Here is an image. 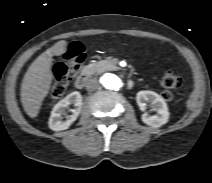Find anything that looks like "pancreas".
Here are the masks:
<instances>
[{"instance_id":"obj_1","label":"pancreas","mask_w":212,"mask_h":183,"mask_svg":"<svg viewBox=\"0 0 212 183\" xmlns=\"http://www.w3.org/2000/svg\"><path fill=\"white\" fill-rule=\"evenodd\" d=\"M118 60L116 58H108L99 62H93L86 67V72L90 75L99 74L105 71L119 70L117 66Z\"/></svg>"}]
</instances>
